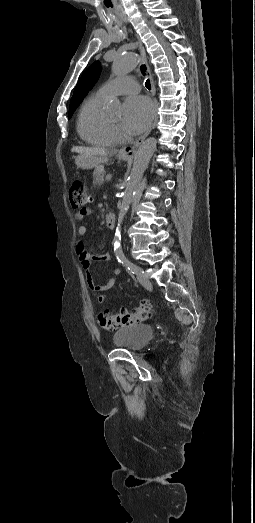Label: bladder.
Masks as SVG:
<instances>
[{"instance_id":"1","label":"bladder","mask_w":255,"mask_h":523,"mask_svg":"<svg viewBox=\"0 0 255 523\" xmlns=\"http://www.w3.org/2000/svg\"><path fill=\"white\" fill-rule=\"evenodd\" d=\"M153 336V327L146 324H134L120 328L114 333L112 342L120 348L141 349Z\"/></svg>"}]
</instances>
